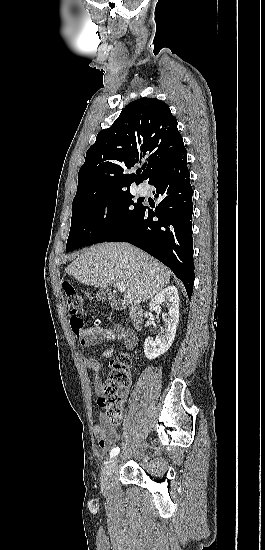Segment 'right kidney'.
I'll return each mask as SVG.
<instances>
[{
  "instance_id": "obj_1",
  "label": "right kidney",
  "mask_w": 265,
  "mask_h": 550,
  "mask_svg": "<svg viewBox=\"0 0 265 550\" xmlns=\"http://www.w3.org/2000/svg\"><path fill=\"white\" fill-rule=\"evenodd\" d=\"M162 303H165L169 310L168 313L162 315L165 329L155 340L146 338L144 342V353L149 360L164 354L171 347L175 339L179 321V294L175 286H168L157 293L149 304L150 310L158 314L161 313L160 305ZM147 317L148 313L146 312L145 318Z\"/></svg>"
}]
</instances>
